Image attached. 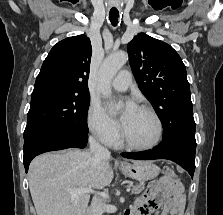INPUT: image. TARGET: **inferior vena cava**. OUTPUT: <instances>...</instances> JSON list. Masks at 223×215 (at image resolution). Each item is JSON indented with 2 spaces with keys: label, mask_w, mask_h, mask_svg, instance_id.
<instances>
[{
  "label": "inferior vena cava",
  "mask_w": 223,
  "mask_h": 215,
  "mask_svg": "<svg viewBox=\"0 0 223 215\" xmlns=\"http://www.w3.org/2000/svg\"><path fill=\"white\" fill-rule=\"evenodd\" d=\"M89 143L90 151L93 155H96V157H110V151L103 145H100L92 135L89 137ZM103 211L104 203L102 199H100L99 195H93L89 215H102Z\"/></svg>",
  "instance_id": "602c4592"
}]
</instances>
